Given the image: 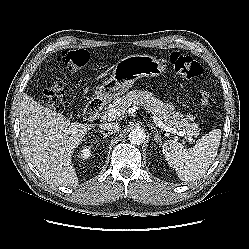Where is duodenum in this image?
<instances>
[{
    "instance_id": "duodenum-1",
    "label": "duodenum",
    "mask_w": 249,
    "mask_h": 249,
    "mask_svg": "<svg viewBox=\"0 0 249 249\" xmlns=\"http://www.w3.org/2000/svg\"><path fill=\"white\" fill-rule=\"evenodd\" d=\"M103 100L100 97H94L92 98L88 104L85 107L84 110V117L87 120H94L97 118V116L99 115L102 107H103Z\"/></svg>"
}]
</instances>
